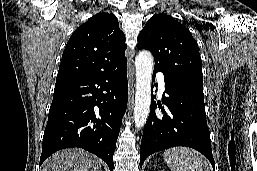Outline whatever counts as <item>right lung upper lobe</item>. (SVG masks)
<instances>
[{
	"instance_id": "1",
	"label": "right lung upper lobe",
	"mask_w": 257,
	"mask_h": 171,
	"mask_svg": "<svg viewBox=\"0 0 257 171\" xmlns=\"http://www.w3.org/2000/svg\"><path fill=\"white\" fill-rule=\"evenodd\" d=\"M126 48L116 16L98 13L73 32L62 54L56 83L113 70L127 63Z\"/></svg>"
}]
</instances>
